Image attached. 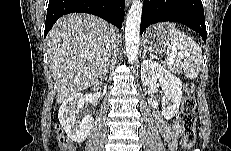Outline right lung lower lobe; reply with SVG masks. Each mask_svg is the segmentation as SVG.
Instances as JSON below:
<instances>
[{"mask_svg":"<svg viewBox=\"0 0 231 151\" xmlns=\"http://www.w3.org/2000/svg\"><path fill=\"white\" fill-rule=\"evenodd\" d=\"M124 4L125 0H49L44 37L61 16L73 12L93 14L121 28Z\"/></svg>","mask_w":231,"mask_h":151,"instance_id":"right-lung-lower-lobe-1","label":"right lung lower lobe"}]
</instances>
